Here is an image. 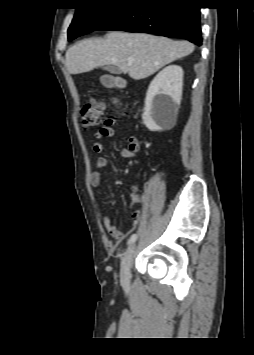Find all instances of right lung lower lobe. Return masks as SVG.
<instances>
[{
    "instance_id": "right-lung-lower-lobe-1",
    "label": "right lung lower lobe",
    "mask_w": 254,
    "mask_h": 355,
    "mask_svg": "<svg viewBox=\"0 0 254 355\" xmlns=\"http://www.w3.org/2000/svg\"><path fill=\"white\" fill-rule=\"evenodd\" d=\"M97 30L145 32L202 43L200 8L194 0H131Z\"/></svg>"
}]
</instances>
